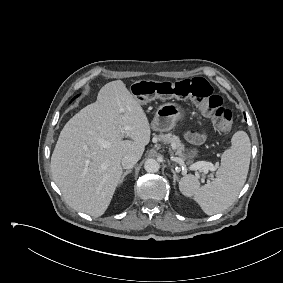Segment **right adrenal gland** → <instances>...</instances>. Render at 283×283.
Returning <instances> with one entry per match:
<instances>
[{"mask_svg": "<svg viewBox=\"0 0 283 283\" xmlns=\"http://www.w3.org/2000/svg\"><path fill=\"white\" fill-rule=\"evenodd\" d=\"M131 172H132V170H127V171H125V172L123 173V175H122L120 181H119V184H121V183L124 181V178L126 177V175L129 174V173H131Z\"/></svg>", "mask_w": 283, "mask_h": 283, "instance_id": "1", "label": "right adrenal gland"}]
</instances>
